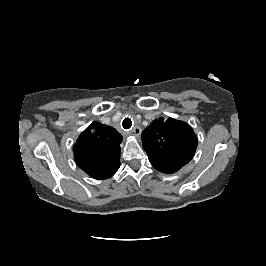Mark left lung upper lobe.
<instances>
[{
    "label": "left lung upper lobe",
    "mask_w": 266,
    "mask_h": 266,
    "mask_svg": "<svg viewBox=\"0 0 266 266\" xmlns=\"http://www.w3.org/2000/svg\"><path fill=\"white\" fill-rule=\"evenodd\" d=\"M142 141L152 166L167 174L186 165L197 148V137L190 125L172 118L154 120L142 132Z\"/></svg>",
    "instance_id": "1"
}]
</instances>
